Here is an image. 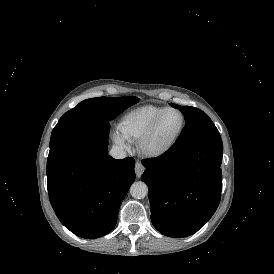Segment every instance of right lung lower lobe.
Masks as SVG:
<instances>
[{"instance_id": "obj_1", "label": "right lung lower lobe", "mask_w": 274, "mask_h": 274, "mask_svg": "<svg viewBox=\"0 0 274 274\" xmlns=\"http://www.w3.org/2000/svg\"><path fill=\"white\" fill-rule=\"evenodd\" d=\"M109 121L95 123L50 148L47 185L62 224L94 239L116 225L119 207L135 179L133 158L107 154Z\"/></svg>"}]
</instances>
